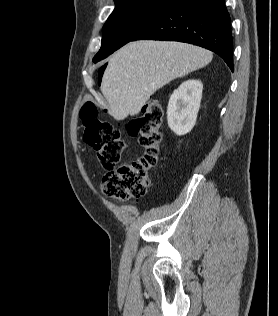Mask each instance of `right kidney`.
Returning a JSON list of instances; mask_svg holds the SVG:
<instances>
[{"instance_id": "ca27d5eb", "label": "right kidney", "mask_w": 278, "mask_h": 316, "mask_svg": "<svg viewBox=\"0 0 278 316\" xmlns=\"http://www.w3.org/2000/svg\"><path fill=\"white\" fill-rule=\"evenodd\" d=\"M203 84L199 80L183 82L170 97L167 109L169 128L177 135H185L196 123Z\"/></svg>"}]
</instances>
